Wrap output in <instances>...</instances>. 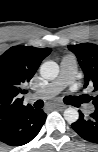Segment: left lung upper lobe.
<instances>
[{"mask_svg":"<svg viewBox=\"0 0 98 152\" xmlns=\"http://www.w3.org/2000/svg\"><path fill=\"white\" fill-rule=\"evenodd\" d=\"M68 49L77 59L78 65L83 72L84 88H93L98 92V46L92 43L68 45ZM87 96L95 109H98V96Z\"/></svg>","mask_w":98,"mask_h":152,"instance_id":"1","label":"left lung upper lobe"}]
</instances>
